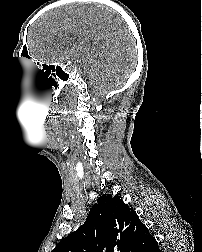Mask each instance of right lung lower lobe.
I'll use <instances>...</instances> for the list:
<instances>
[{
    "mask_svg": "<svg viewBox=\"0 0 202 252\" xmlns=\"http://www.w3.org/2000/svg\"><path fill=\"white\" fill-rule=\"evenodd\" d=\"M149 252H161V250L158 247V243L154 245Z\"/></svg>",
    "mask_w": 202,
    "mask_h": 252,
    "instance_id": "obj_1",
    "label": "right lung lower lobe"
}]
</instances>
